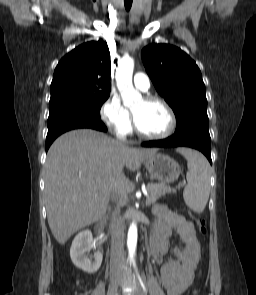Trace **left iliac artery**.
I'll return each instance as SVG.
<instances>
[{
	"label": "left iliac artery",
	"instance_id": "obj_1",
	"mask_svg": "<svg viewBox=\"0 0 256 295\" xmlns=\"http://www.w3.org/2000/svg\"><path fill=\"white\" fill-rule=\"evenodd\" d=\"M137 277H138V280H139L143 290L146 292V287H145L144 281H143V279L141 278V276L139 275L138 272H137Z\"/></svg>",
	"mask_w": 256,
	"mask_h": 295
}]
</instances>
